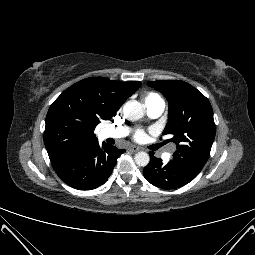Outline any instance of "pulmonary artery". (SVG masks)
<instances>
[{"label":"pulmonary artery","mask_w":255,"mask_h":255,"mask_svg":"<svg viewBox=\"0 0 255 255\" xmlns=\"http://www.w3.org/2000/svg\"><path fill=\"white\" fill-rule=\"evenodd\" d=\"M147 107V114L150 118H158L165 109V103L162 100H158ZM128 128H110L101 131V136L103 138H122L128 134ZM169 154H165V158H168Z\"/></svg>","instance_id":"1"}]
</instances>
